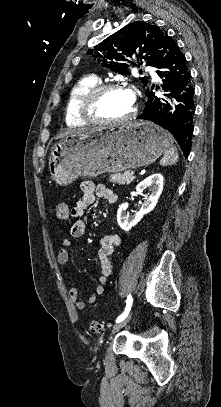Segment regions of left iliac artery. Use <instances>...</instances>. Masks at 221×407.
Instances as JSON below:
<instances>
[{
    "mask_svg": "<svg viewBox=\"0 0 221 407\" xmlns=\"http://www.w3.org/2000/svg\"><path fill=\"white\" fill-rule=\"evenodd\" d=\"M133 303V299L131 295H128L127 300H126V308L124 310V312L116 319V323L121 322L124 318H126V316L128 315L131 306Z\"/></svg>",
    "mask_w": 221,
    "mask_h": 407,
    "instance_id": "44dca946",
    "label": "left iliac artery"
}]
</instances>
